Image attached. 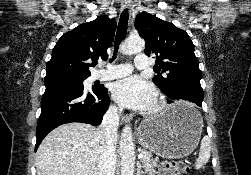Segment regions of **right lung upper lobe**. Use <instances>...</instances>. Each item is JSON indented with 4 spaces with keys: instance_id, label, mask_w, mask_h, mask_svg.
<instances>
[{
    "instance_id": "right-lung-upper-lobe-1",
    "label": "right lung upper lobe",
    "mask_w": 251,
    "mask_h": 175,
    "mask_svg": "<svg viewBox=\"0 0 251 175\" xmlns=\"http://www.w3.org/2000/svg\"><path fill=\"white\" fill-rule=\"evenodd\" d=\"M115 30V20L99 16L64 33L53 48L44 81L90 76L89 67L97 59L108 57L106 50L113 41Z\"/></svg>"
}]
</instances>
